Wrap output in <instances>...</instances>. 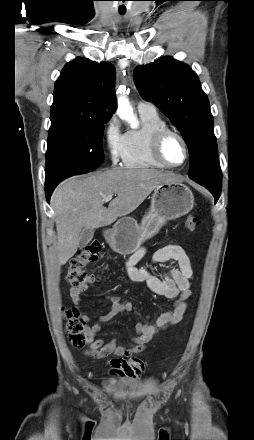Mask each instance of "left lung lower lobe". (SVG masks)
Wrapping results in <instances>:
<instances>
[{
	"label": "left lung lower lobe",
	"instance_id": "1",
	"mask_svg": "<svg viewBox=\"0 0 254 440\" xmlns=\"http://www.w3.org/2000/svg\"><path fill=\"white\" fill-rule=\"evenodd\" d=\"M218 199H219V197H215L216 202H217Z\"/></svg>",
	"mask_w": 254,
	"mask_h": 440
}]
</instances>
